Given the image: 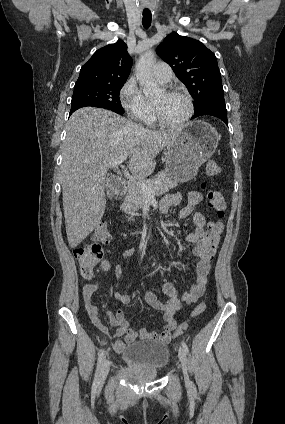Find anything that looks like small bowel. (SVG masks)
Here are the masks:
<instances>
[{
    "label": "small bowel",
    "instance_id": "c3829d8e",
    "mask_svg": "<svg viewBox=\"0 0 285 424\" xmlns=\"http://www.w3.org/2000/svg\"><path fill=\"white\" fill-rule=\"evenodd\" d=\"M180 201L181 196L179 193L166 194L160 202V211L165 216L178 220L190 217L193 229L186 235L185 240L190 244H197L204 239L206 235V226H209V224L207 225L206 223L204 215L199 211H194L196 206L203 201V194L199 191L189 192L185 206L177 213H172L171 209L177 206ZM134 252V248H125L122 250L115 266V278L117 281H119L122 277L121 261L132 256ZM193 254L199 256V258L196 265L195 281L188 290L180 293L172 283L164 282L160 286V290L168 297L166 302L160 301L157 295L152 291H147L145 294L146 303L153 309L159 310L163 313V329L161 332L149 331L145 328L137 331L129 326L128 322L124 319L123 312L121 310H105L106 318L112 326L116 327V331L111 336L112 338H115L113 348L116 352H123L126 345L135 342L138 338L142 340H156L169 343L173 337L182 334L176 333L178 327L174 320V315L182 308L183 304L190 305L196 302L204 294L211 268L210 259L201 257L197 252V248L193 251ZM103 269H108L107 263L103 264ZM97 289V282H91L84 285V305L94 326L101 332L107 334V327L102 322L99 309L93 300ZM114 296L122 304H129L131 301L130 296L123 293L115 292Z\"/></svg>",
    "mask_w": 285,
    "mask_h": 424
}]
</instances>
